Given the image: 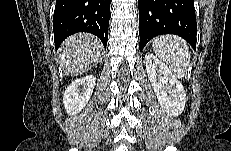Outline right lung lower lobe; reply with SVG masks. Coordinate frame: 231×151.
<instances>
[{"mask_svg": "<svg viewBox=\"0 0 231 151\" xmlns=\"http://www.w3.org/2000/svg\"><path fill=\"white\" fill-rule=\"evenodd\" d=\"M111 0H57L53 31L56 48L68 36L88 32L107 45Z\"/></svg>", "mask_w": 231, "mask_h": 151, "instance_id": "right-lung-lower-lobe-1", "label": "right lung lower lobe"}]
</instances>
